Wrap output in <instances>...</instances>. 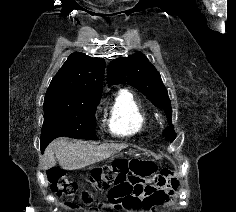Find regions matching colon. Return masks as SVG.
<instances>
[{"mask_svg":"<svg viewBox=\"0 0 236 212\" xmlns=\"http://www.w3.org/2000/svg\"><path fill=\"white\" fill-rule=\"evenodd\" d=\"M153 169L155 167L152 164L119 159L94 170L90 176L91 188L82 192H79L77 183L60 168L50 169L47 176L51 190L58 196L89 201L94 192L114 187V180L119 179V175H149Z\"/></svg>","mask_w":236,"mask_h":212,"instance_id":"5ec220e1","label":"colon"}]
</instances>
